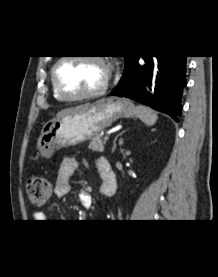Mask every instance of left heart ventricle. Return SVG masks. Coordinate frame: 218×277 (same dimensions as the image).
Here are the masks:
<instances>
[{
  "mask_svg": "<svg viewBox=\"0 0 218 277\" xmlns=\"http://www.w3.org/2000/svg\"><path fill=\"white\" fill-rule=\"evenodd\" d=\"M61 88L69 95H80L99 88L106 76L99 63L85 59H68L57 69Z\"/></svg>",
  "mask_w": 218,
  "mask_h": 277,
  "instance_id": "1",
  "label": "left heart ventricle"
}]
</instances>
